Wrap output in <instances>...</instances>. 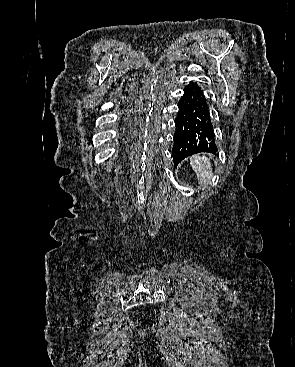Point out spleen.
<instances>
[{
    "mask_svg": "<svg viewBox=\"0 0 295 367\" xmlns=\"http://www.w3.org/2000/svg\"><path fill=\"white\" fill-rule=\"evenodd\" d=\"M190 165L197 174L200 185L205 188L213 175L210 160L206 156L194 155L190 157Z\"/></svg>",
    "mask_w": 295,
    "mask_h": 367,
    "instance_id": "3e777b00",
    "label": "spleen"
}]
</instances>
